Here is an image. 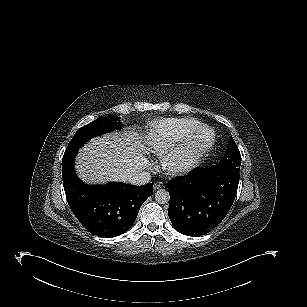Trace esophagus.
Segmentation results:
<instances>
[{
  "label": "esophagus",
  "mask_w": 307,
  "mask_h": 307,
  "mask_svg": "<svg viewBox=\"0 0 307 307\" xmlns=\"http://www.w3.org/2000/svg\"><path fill=\"white\" fill-rule=\"evenodd\" d=\"M162 186H163L162 182H156V183H154L153 188H154V190H157V189L161 188Z\"/></svg>",
  "instance_id": "obj_1"
}]
</instances>
